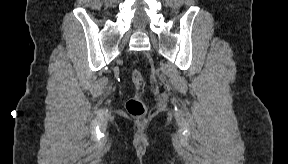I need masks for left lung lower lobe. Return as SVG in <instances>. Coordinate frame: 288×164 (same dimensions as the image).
Wrapping results in <instances>:
<instances>
[{
	"label": "left lung lower lobe",
	"mask_w": 288,
	"mask_h": 164,
	"mask_svg": "<svg viewBox=\"0 0 288 164\" xmlns=\"http://www.w3.org/2000/svg\"><path fill=\"white\" fill-rule=\"evenodd\" d=\"M263 84V78L260 77V86ZM260 97V94H257Z\"/></svg>",
	"instance_id": "0a47b994"
}]
</instances>
